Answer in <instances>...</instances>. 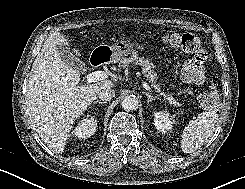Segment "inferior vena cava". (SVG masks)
Returning a JSON list of instances; mask_svg holds the SVG:
<instances>
[{
  "label": "inferior vena cava",
  "mask_w": 245,
  "mask_h": 189,
  "mask_svg": "<svg viewBox=\"0 0 245 189\" xmlns=\"http://www.w3.org/2000/svg\"><path fill=\"white\" fill-rule=\"evenodd\" d=\"M115 96V91L112 88H103L99 91L98 97L103 101H110Z\"/></svg>",
  "instance_id": "1"
}]
</instances>
